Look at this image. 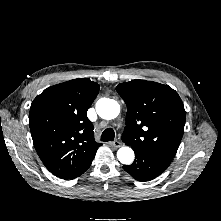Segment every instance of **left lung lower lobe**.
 <instances>
[{"instance_id":"1","label":"left lung lower lobe","mask_w":221,"mask_h":221,"mask_svg":"<svg viewBox=\"0 0 221 221\" xmlns=\"http://www.w3.org/2000/svg\"><path fill=\"white\" fill-rule=\"evenodd\" d=\"M135 161L131 165H124L123 169L138 181H149L167 169L172 159L147 153L133 148Z\"/></svg>"}]
</instances>
